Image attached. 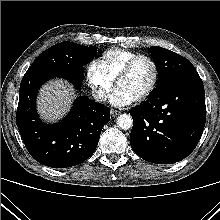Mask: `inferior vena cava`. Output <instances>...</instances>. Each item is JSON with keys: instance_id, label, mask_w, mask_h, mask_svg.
<instances>
[{"instance_id": "obj_1", "label": "inferior vena cava", "mask_w": 220, "mask_h": 220, "mask_svg": "<svg viewBox=\"0 0 220 220\" xmlns=\"http://www.w3.org/2000/svg\"><path fill=\"white\" fill-rule=\"evenodd\" d=\"M92 95L94 99L98 102H102L106 100V93L104 90H95Z\"/></svg>"}]
</instances>
